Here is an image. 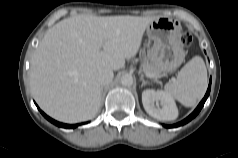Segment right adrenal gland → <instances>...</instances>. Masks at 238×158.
I'll list each match as a JSON object with an SVG mask.
<instances>
[{
  "instance_id": "2a0ac1e0",
  "label": "right adrenal gland",
  "mask_w": 238,
  "mask_h": 158,
  "mask_svg": "<svg viewBox=\"0 0 238 158\" xmlns=\"http://www.w3.org/2000/svg\"><path fill=\"white\" fill-rule=\"evenodd\" d=\"M101 92L103 93V87H101Z\"/></svg>"
}]
</instances>
